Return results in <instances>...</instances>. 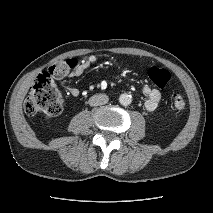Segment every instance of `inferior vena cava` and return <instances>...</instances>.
Wrapping results in <instances>:
<instances>
[{
    "mask_svg": "<svg viewBox=\"0 0 213 213\" xmlns=\"http://www.w3.org/2000/svg\"><path fill=\"white\" fill-rule=\"evenodd\" d=\"M109 101V98L105 94H96L89 99L90 106L104 105Z\"/></svg>",
    "mask_w": 213,
    "mask_h": 213,
    "instance_id": "1",
    "label": "inferior vena cava"
}]
</instances>
